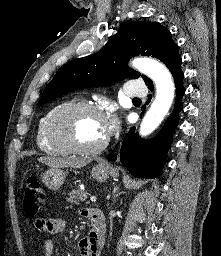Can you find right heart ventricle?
Segmentation results:
<instances>
[{"instance_id": "e07e8e85", "label": "right heart ventricle", "mask_w": 221, "mask_h": 256, "mask_svg": "<svg viewBox=\"0 0 221 256\" xmlns=\"http://www.w3.org/2000/svg\"><path fill=\"white\" fill-rule=\"evenodd\" d=\"M74 99L64 100L50 107L38 122L36 129V144L38 148L49 155H63L68 153L61 145L52 142L48 135V129L52 116L62 107L74 103Z\"/></svg>"}]
</instances>
